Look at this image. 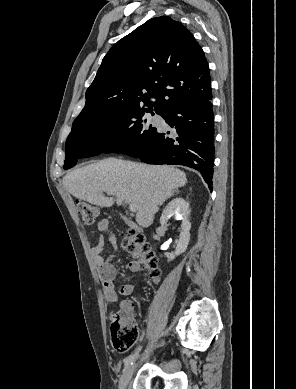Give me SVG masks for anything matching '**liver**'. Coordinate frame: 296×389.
Segmentation results:
<instances>
[{
	"instance_id": "6515ba94",
	"label": "liver",
	"mask_w": 296,
	"mask_h": 389,
	"mask_svg": "<svg viewBox=\"0 0 296 389\" xmlns=\"http://www.w3.org/2000/svg\"><path fill=\"white\" fill-rule=\"evenodd\" d=\"M62 183L75 198L100 207H110L115 201L118 206L135 205L136 222L147 228L159 206L187 183V177L173 167L108 158L68 172Z\"/></svg>"
}]
</instances>
